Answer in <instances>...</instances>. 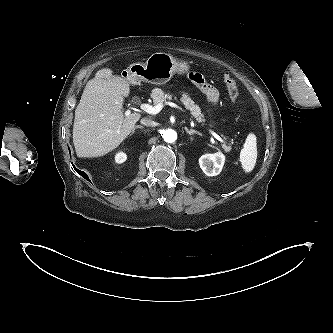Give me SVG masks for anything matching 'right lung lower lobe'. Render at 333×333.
<instances>
[{"instance_id":"obj_1","label":"right lung lower lobe","mask_w":333,"mask_h":333,"mask_svg":"<svg viewBox=\"0 0 333 333\" xmlns=\"http://www.w3.org/2000/svg\"><path fill=\"white\" fill-rule=\"evenodd\" d=\"M74 169H75L76 172H77L78 174H80L82 177H84L86 180L90 181V180H89V177L87 176V174H86L85 172L80 171V170H78V169L75 168V167H74Z\"/></svg>"}]
</instances>
